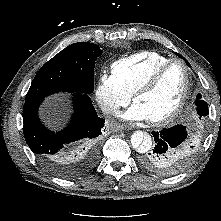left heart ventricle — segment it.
<instances>
[{
    "label": "left heart ventricle",
    "instance_id": "obj_1",
    "mask_svg": "<svg viewBox=\"0 0 221 221\" xmlns=\"http://www.w3.org/2000/svg\"><path fill=\"white\" fill-rule=\"evenodd\" d=\"M185 89V72L175 63L163 74L157 85L149 92L140 95L135 103L147 113L150 120L170 113L179 103Z\"/></svg>",
    "mask_w": 221,
    "mask_h": 221
}]
</instances>
